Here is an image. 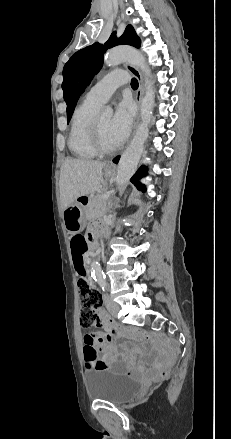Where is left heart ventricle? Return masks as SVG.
Returning a JSON list of instances; mask_svg holds the SVG:
<instances>
[{
	"label": "left heart ventricle",
	"instance_id": "left-heart-ventricle-1",
	"mask_svg": "<svg viewBox=\"0 0 231 439\" xmlns=\"http://www.w3.org/2000/svg\"><path fill=\"white\" fill-rule=\"evenodd\" d=\"M99 127H100V133L103 143L106 146L112 147L115 146L116 143L114 142L111 133H110V123H111V117L108 115H101L97 117Z\"/></svg>",
	"mask_w": 231,
	"mask_h": 439
}]
</instances>
